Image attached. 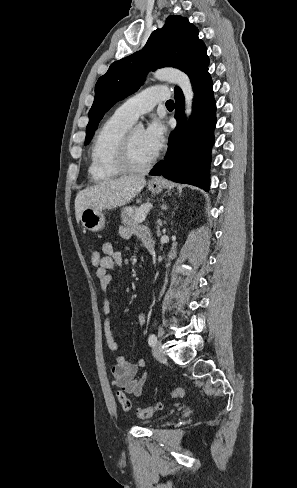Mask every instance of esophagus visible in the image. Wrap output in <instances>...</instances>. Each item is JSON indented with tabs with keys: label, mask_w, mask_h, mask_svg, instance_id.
<instances>
[{
	"label": "esophagus",
	"mask_w": 297,
	"mask_h": 488,
	"mask_svg": "<svg viewBox=\"0 0 297 488\" xmlns=\"http://www.w3.org/2000/svg\"><path fill=\"white\" fill-rule=\"evenodd\" d=\"M160 182V178H153L151 181H150V184L154 185V184H157Z\"/></svg>",
	"instance_id": "obj_1"
}]
</instances>
